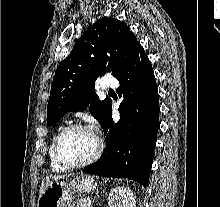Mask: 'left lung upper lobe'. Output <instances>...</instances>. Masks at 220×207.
I'll return each mask as SVG.
<instances>
[{"label":"left lung upper lobe","instance_id":"left-lung-upper-lobe-1","mask_svg":"<svg viewBox=\"0 0 220 207\" xmlns=\"http://www.w3.org/2000/svg\"><path fill=\"white\" fill-rule=\"evenodd\" d=\"M138 44L130 28L118 19L102 18L90 26L56 69L47 125L55 124L68 111H82L89 105L91 114L102 125L111 100H99L95 80L107 71L116 77Z\"/></svg>","mask_w":220,"mask_h":207}]
</instances>
